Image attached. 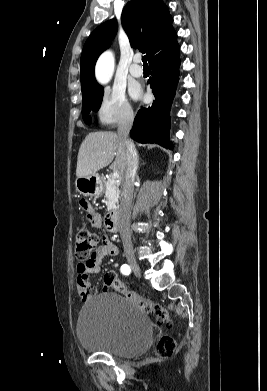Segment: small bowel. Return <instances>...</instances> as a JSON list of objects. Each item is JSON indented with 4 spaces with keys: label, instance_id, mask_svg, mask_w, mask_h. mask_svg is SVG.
<instances>
[{
    "label": "small bowel",
    "instance_id": "c3829d8e",
    "mask_svg": "<svg viewBox=\"0 0 267 391\" xmlns=\"http://www.w3.org/2000/svg\"><path fill=\"white\" fill-rule=\"evenodd\" d=\"M80 208L86 212L87 219L95 226H101V216L98 214L93 206L87 200H81L79 203ZM118 254L117 246L109 239L105 238L103 244L98 248L87 262H79L76 266V285L79 295L84 299H90L98 290V286L89 282L88 275L99 273L101 270V264L105 257L115 256ZM107 273L104 275L102 281V290L106 291L110 286L107 283Z\"/></svg>",
    "mask_w": 267,
    "mask_h": 391
}]
</instances>
